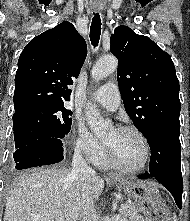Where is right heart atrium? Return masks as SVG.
I'll return each mask as SVG.
<instances>
[{"label": "right heart atrium", "mask_w": 190, "mask_h": 221, "mask_svg": "<svg viewBox=\"0 0 190 221\" xmlns=\"http://www.w3.org/2000/svg\"><path fill=\"white\" fill-rule=\"evenodd\" d=\"M72 141L74 150L89 161H92L103 150L102 142L80 121L74 126Z\"/></svg>", "instance_id": "right-heart-atrium-1"}]
</instances>
